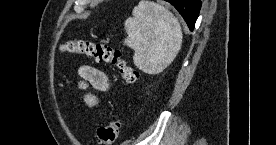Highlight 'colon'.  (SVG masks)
Returning <instances> with one entry per match:
<instances>
[{"instance_id": "5ec220e1", "label": "colon", "mask_w": 276, "mask_h": 145, "mask_svg": "<svg viewBox=\"0 0 276 145\" xmlns=\"http://www.w3.org/2000/svg\"><path fill=\"white\" fill-rule=\"evenodd\" d=\"M62 50L71 53L85 55L94 59L97 63H107L116 65L121 77L128 83H133L138 78L137 70L122 56L119 49L113 48L103 43H95L84 39H72L62 45ZM122 124L114 119L97 129L98 142L101 145H112L120 135Z\"/></svg>"}]
</instances>
